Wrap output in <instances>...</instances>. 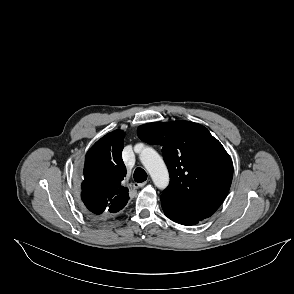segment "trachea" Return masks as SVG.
Returning a JSON list of instances; mask_svg holds the SVG:
<instances>
[{
    "label": "trachea",
    "mask_w": 294,
    "mask_h": 294,
    "mask_svg": "<svg viewBox=\"0 0 294 294\" xmlns=\"http://www.w3.org/2000/svg\"><path fill=\"white\" fill-rule=\"evenodd\" d=\"M133 177L136 182L141 183L147 179V173L142 168H136Z\"/></svg>",
    "instance_id": "1"
}]
</instances>
